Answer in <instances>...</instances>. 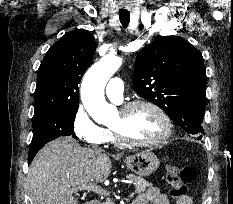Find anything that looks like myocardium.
I'll return each instance as SVG.
<instances>
[{
    "instance_id": "myocardium-1",
    "label": "myocardium",
    "mask_w": 233,
    "mask_h": 204,
    "mask_svg": "<svg viewBox=\"0 0 233 204\" xmlns=\"http://www.w3.org/2000/svg\"><path fill=\"white\" fill-rule=\"evenodd\" d=\"M139 106L150 108L160 117V119L164 123V132L159 137L153 140L133 141L128 139L126 136H124L119 129L115 127H111L110 130L114 135L115 139L117 140V142L123 146H131V147H152L165 142L172 134V128H173L172 121L169 115L156 103L146 99H135L122 105L119 109V112L125 115L129 113L132 109Z\"/></svg>"
}]
</instances>
